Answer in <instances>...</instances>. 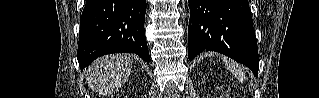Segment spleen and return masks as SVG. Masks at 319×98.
<instances>
[{"label": "spleen", "instance_id": "spleen-1", "mask_svg": "<svg viewBox=\"0 0 319 98\" xmlns=\"http://www.w3.org/2000/svg\"><path fill=\"white\" fill-rule=\"evenodd\" d=\"M223 61L225 65L227 66V68L235 75V77L243 81L245 75H244V71L242 67H240L237 63L228 59H223Z\"/></svg>", "mask_w": 319, "mask_h": 98}]
</instances>
